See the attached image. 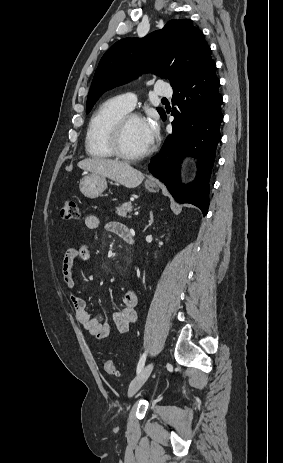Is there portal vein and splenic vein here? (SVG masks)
I'll list each match as a JSON object with an SVG mask.
<instances>
[{
    "label": "portal vein and splenic vein",
    "mask_w": 283,
    "mask_h": 463,
    "mask_svg": "<svg viewBox=\"0 0 283 463\" xmlns=\"http://www.w3.org/2000/svg\"><path fill=\"white\" fill-rule=\"evenodd\" d=\"M139 213L138 212H135V215H138Z\"/></svg>",
    "instance_id": "obj_1"
}]
</instances>
